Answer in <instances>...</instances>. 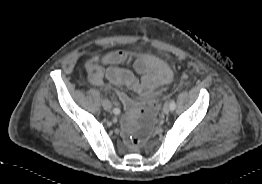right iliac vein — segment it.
<instances>
[{
	"label": "right iliac vein",
	"mask_w": 262,
	"mask_h": 184,
	"mask_svg": "<svg viewBox=\"0 0 262 184\" xmlns=\"http://www.w3.org/2000/svg\"><path fill=\"white\" fill-rule=\"evenodd\" d=\"M102 106L106 111H109L112 108L111 102L107 99L102 101Z\"/></svg>",
	"instance_id": "63e3f726"
}]
</instances>
